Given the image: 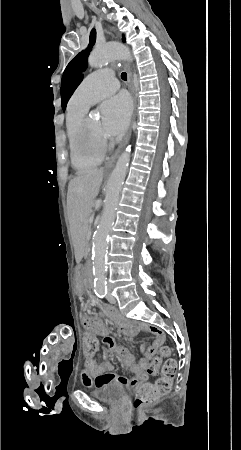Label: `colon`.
I'll list each match as a JSON object with an SVG mask.
<instances>
[{"mask_svg":"<svg viewBox=\"0 0 241 450\" xmlns=\"http://www.w3.org/2000/svg\"><path fill=\"white\" fill-rule=\"evenodd\" d=\"M95 344L96 342L91 336L82 334L79 337V349L84 353V356H93V353L97 351V348L94 346ZM169 353V348L167 346H162L159 350L158 357L152 361L153 365L147 369V372L149 374L157 373L159 370L160 359L168 357ZM164 366L165 368L161 371L163 376L159 377L151 384L140 387L136 398L133 401V406L135 408H146L147 406H151L167 393L170 387L169 377L176 370V365L172 360H167L165 361Z\"/></svg>","mask_w":241,"mask_h":450,"instance_id":"colon-1","label":"colon"}]
</instances>
